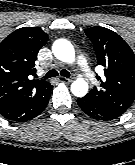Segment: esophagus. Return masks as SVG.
Instances as JSON below:
<instances>
[{"label":"esophagus","instance_id":"1","mask_svg":"<svg viewBox=\"0 0 135 165\" xmlns=\"http://www.w3.org/2000/svg\"><path fill=\"white\" fill-rule=\"evenodd\" d=\"M58 80H59L60 82H62V83H66V84H69V83L72 82V79H70V78H65V77H62V76H60V77L58 78Z\"/></svg>","mask_w":135,"mask_h":165}]
</instances>
